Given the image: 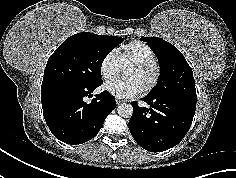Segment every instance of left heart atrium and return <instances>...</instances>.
<instances>
[{
  "instance_id": "obj_1",
  "label": "left heart atrium",
  "mask_w": 236,
  "mask_h": 178,
  "mask_svg": "<svg viewBox=\"0 0 236 178\" xmlns=\"http://www.w3.org/2000/svg\"><path fill=\"white\" fill-rule=\"evenodd\" d=\"M105 90L117 98H131L139 95L143 88L133 79L114 80L105 84Z\"/></svg>"
}]
</instances>
